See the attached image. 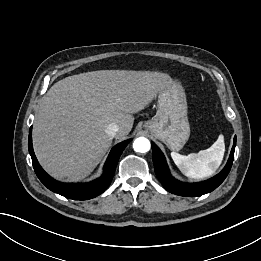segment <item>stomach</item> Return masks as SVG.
Here are the masks:
<instances>
[{
  "label": "stomach",
  "mask_w": 261,
  "mask_h": 261,
  "mask_svg": "<svg viewBox=\"0 0 261 261\" xmlns=\"http://www.w3.org/2000/svg\"><path fill=\"white\" fill-rule=\"evenodd\" d=\"M144 128L163 141L171 150H180L190 136L185 92L172 82L158 94L157 113Z\"/></svg>",
  "instance_id": "obj_1"
}]
</instances>
